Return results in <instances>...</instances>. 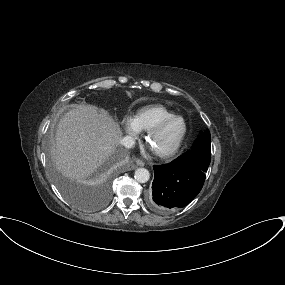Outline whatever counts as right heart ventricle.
<instances>
[{"label": "right heart ventricle", "instance_id": "right-heart-ventricle-1", "mask_svg": "<svg viewBox=\"0 0 285 285\" xmlns=\"http://www.w3.org/2000/svg\"><path fill=\"white\" fill-rule=\"evenodd\" d=\"M175 115L171 110L163 105H150L137 111L134 121L140 131H148L164 118Z\"/></svg>", "mask_w": 285, "mask_h": 285}]
</instances>
